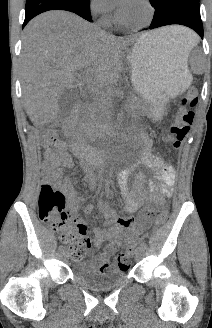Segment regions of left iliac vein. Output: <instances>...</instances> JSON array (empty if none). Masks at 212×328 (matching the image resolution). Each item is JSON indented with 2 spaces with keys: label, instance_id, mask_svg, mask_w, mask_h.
<instances>
[{
  "label": "left iliac vein",
  "instance_id": "left-iliac-vein-1",
  "mask_svg": "<svg viewBox=\"0 0 212 328\" xmlns=\"http://www.w3.org/2000/svg\"><path fill=\"white\" fill-rule=\"evenodd\" d=\"M143 252H144L143 247H141V246L137 247L136 250H135V256H136V258L137 259H140L142 257V255H143Z\"/></svg>",
  "mask_w": 212,
  "mask_h": 328
}]
</instances>
